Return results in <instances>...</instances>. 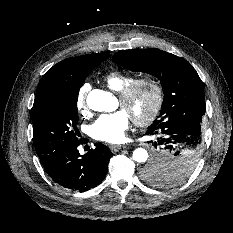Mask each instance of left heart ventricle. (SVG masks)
<instances>
[{
    "mask_svg": "<svg viewBox=\"0 0 233 233\" xmlns=\"http://www.w3.org/2000/svg\"><path fill=\"white\" fill-rule=\"evenodd\" d=\"M152 99V90L147 86H142L135 92L129 104L124 106L119 101V105L131 117H143L150 110Z\"/></svg>",
    "mask_w": 233,
    "mask_h": 233,
    "instance_id": "b2bd125f",
    "label": "left heart ventricle"
}]
</instances>
